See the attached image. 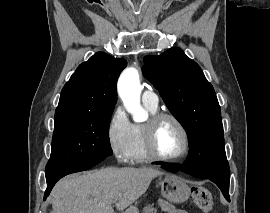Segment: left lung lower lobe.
<instances>
[{
	"instance_id": "obj_1",
	"label": "left lung lower lobe",
	"mask_w": 270,
	"mask_h": 213,
	"mask_svg": "<svg viewBox=\"0 0 270 213\" xmlns=\"http://www.w3.org/2000/svg\"><path fill=\"white\" fill-rule=\"evenodd\" d=\"M166 170L171 172H176L178 167H172V166H163ZM184 172H186L189 175L203 178L201 175V172L198 169V165L193 162L192 157L188 156L186 162L184 163V167L182 168ZM213 181L222 191L224 197L229 201V181H220L216 179H209Z\"/></svg>"
}]
</instances>
